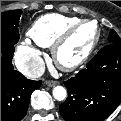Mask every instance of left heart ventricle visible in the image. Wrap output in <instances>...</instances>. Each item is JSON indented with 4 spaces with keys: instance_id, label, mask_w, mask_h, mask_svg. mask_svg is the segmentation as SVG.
<instances>
[{
    "instance_id": "1",
    "label": "left heart ventricle",
    "mask_w": 121,
    "mask_h": 121,
    "mask_svg": "<svg viewBox=\"0 0 121 121\" xmlns=\"http://www.w3.org/2000/svg\"><path fill=\"white\" fill-rule=\"evenodd\" d=\"M96 35V27L93 24L82 25L60 49V59L63 62H73L82 57L94 42Z\"/></svg>"
}]
</instances>
